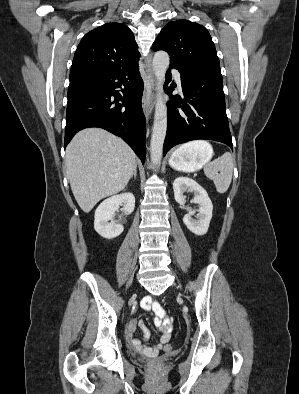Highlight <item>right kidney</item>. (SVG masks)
I'll use <instances>...</instances> for the list:
<instances>
[{
    "mask_svg": "<svg viewBox=\"0 0 299 394\" xmlns=\"http://www.w3.org/2000/svg\"><path fill=\"white\" fill-rule=\"evenodd\" d=\"M124 206L125 214H131L135 208V197L132 193L114 195L104 200L95 211L94 229L103 238L112 239L119 236L124 228L113 220L119 206ZM111 220V222H109Z\"/></svg>",
    "mask_w": 299,
    "mask_h": 394,
    "instance_id": "obj_1",
    "label": "right kidney"
}]
</instances>
